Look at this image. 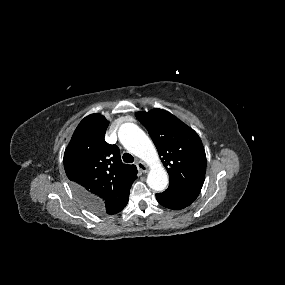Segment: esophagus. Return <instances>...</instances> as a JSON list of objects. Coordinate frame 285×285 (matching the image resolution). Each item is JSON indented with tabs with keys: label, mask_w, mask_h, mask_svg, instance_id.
Segmentation results:
<instances>
[{
	"label": "esophagus",
	"mask_w": 285,
	"mask_h": 285,
	"mask_svg": "<svg viewBox=\"0 0 285 285\" xmlns=\"http://www.w3.org/2000/svg\"><path fill=\"white\" fill-rule=\"evenodd\" d=\"M136 166H137L138 170L142 173H146L148 170L146 164L142 161H137Z\"/></svg>",
	"instance_id": "1"
}]
</instances>
